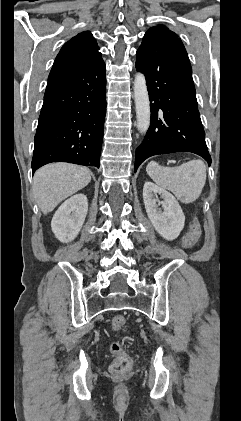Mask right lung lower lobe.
Returning a JSON list of instances; mask_svg holds the SVG:
<instances>
[{"instance_id": "obj_1", "label": "right lung lower lobe", "mask_w": 241, "mask_h": 421, "mask_svg": "<svg viewBox=\"0 0 241 421\" xmlns=\"http://www.w3.org/2000/svg\"><path fill=\"white\" fill-rule=\"evenodd\" d=\"M105 114L102 58L48 79L34 139L32 171L51 162L99 168Z\"/></svg>"}]
</instances>
